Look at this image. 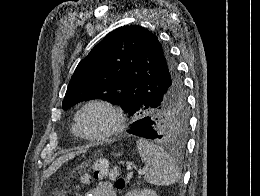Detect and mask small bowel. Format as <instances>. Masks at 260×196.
Masks as SVG:
<instances>
[{"mask_svg": "<svg viewBox=\"0 0 260 196\" xmlns=\"http://www.w3.org/2000/svg\"><path fill=\"white\" fill-rule=\"evenodd\" d=\"M85 196H117V194L110 182L102 181L88 189Z\"/></svg>", "mask_w": 260, "mask_h": 196, "instance_id": "c3829d8e", "label": "small bowel"}]
</instances>
